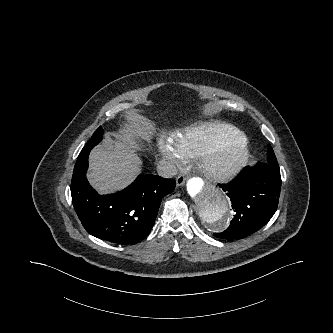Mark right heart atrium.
<instances>
[{
    "label": "right heart atrium",
    "mask_w": 333,
    "mask_h": 333,
    "mask_svg": "<svg viewBox=\"0 0 333 333\" xmlns=\"http://www.w3.org/2000/svg\"><path fill=\"white\" fill-rule=\"evenodd\" d=\"M157 150L159 155L165 161L171 163L175 168L182 167L185 162V157L170 139L164 137L160 138L157 142Z\"/></svg>",
    "instance_id": "right-heart-atrium-1"
}]
</instances>
